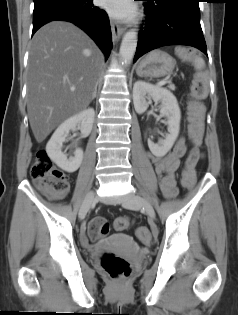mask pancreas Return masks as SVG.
I'll use <instances>...</instances> for the list:
<instances>
[{"mask_svg": "<svg viewBox=\"0 0 238 315\" xmlns=\"http://www.w3.org/2000/svg\"><path fill=\"white\" fill-rule=\"evenodd\" d=\"M168 88H169L170 90H175V86H174V85H169Z\"/></svg>", "mask_w": 238, "mask_h": 315, "instance_id": "cf45deb5", "label": "pancreas"}]
</instances>
